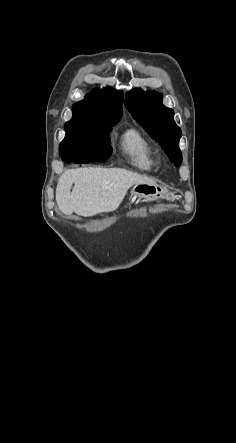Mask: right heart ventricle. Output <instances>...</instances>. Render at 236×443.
<instances>
[{"label":"right heart ventricle","instance_id":"right-heart-ventricle-1","mask_svg":"<svg viewBox=\"0 0 236 443\" xmlns=\"http://www.w3.org/2000/svg\"><path fill=\"white\" fill-rule=\"evenodd\" d=\"M119 148L131 166L141 171H151L157 164L150 141L137 129L125 130L119 139Z\"/></svg>","mask_w":236,"mask_h":443}]
</instances>
